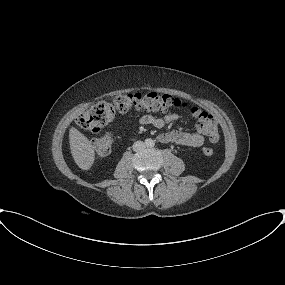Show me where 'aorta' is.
Here are the masks:
<instances>
[{
	"label": "aorta",
	"mask_w": 285,
	"mask_h": 285,
	"mask_svg": "<svg viewBox=\"0 0 285 285\" xmlns=\"http://www.w3.org/2000/svg\"><path fill=\"white\" fill-rule=\"evenodd\" d=\"M145 144L147 147H153L154 141L152 139H146Z\"/></svg>",
	"instance_id": "obj_1"
}]
</instances>
